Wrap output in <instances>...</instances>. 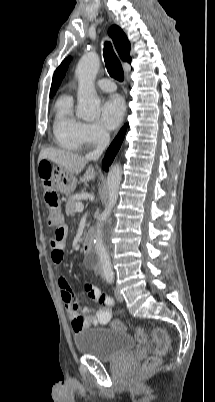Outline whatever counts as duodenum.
Listing matches in <instances>:
<instances>
[{
	"instance_id": "410a0bca",
	"label": "duodenum",
	"mask_w": 215,
	"mask_h": 402,
	"mask_svg": "<svg viewBox=\"0 0 215 402\" xmlns=\"http://www.w3.org/2000/svg\"><path fill=\"white\" fill-rule=\"evenodd\" d=\"M92 248H93V232L89 231L82 242L81 250L84 254H89Z\"/></svg>"
}]
</instances>
